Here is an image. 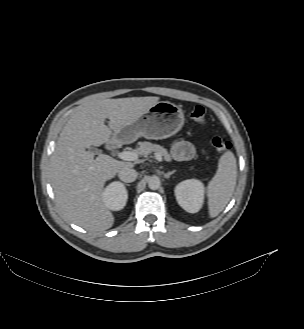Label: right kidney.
I'll list each match as a JSON object with an SVG mask.
<instances>
[{
  "mask_svg": "<svg viewBox=\"0 0 304 329\" xmlns=\"http://www.w3.org/2000/svg\"><path fill=\"white\" fill-rule=\"evenodd\" d=\"M102 198L109 209L118 211L126 205L128 193L122 183L112 182L104 189Z\"/></svg>",
  "mask_w": 304,
  "mask_h": 329,
  "instance_id": "1",
  "label": "right kidney"
}]
</instances>
